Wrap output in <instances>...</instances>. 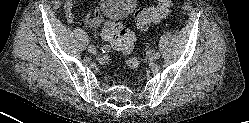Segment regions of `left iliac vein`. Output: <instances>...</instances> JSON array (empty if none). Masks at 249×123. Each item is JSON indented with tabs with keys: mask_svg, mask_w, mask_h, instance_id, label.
Returning <instances> with one entry per match:
<instances>
[{
	"mask_svg": "<svg viewBox=\"0 0 249 123\" xmlns=\"http://www.w3.org/2000/svg\"><path fill=\"white\" fill-rule=\"evenodd\" d=\"M147 58L150 62L155 60V52L153 50L148 51Z\"/></svg>",
	"mask_w": 249,
	"mask_h": 123,
	"instance_id": "4c4485c4",
	"label": "left iliac vein"
}]
</instances>
